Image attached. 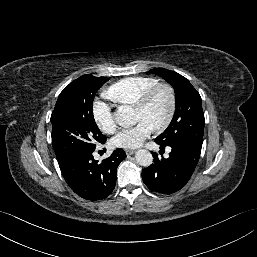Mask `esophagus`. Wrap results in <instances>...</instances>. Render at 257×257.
<instances>
[{"instance_id": "esophagus-1", "label": "esophagus", "mask_w": 257, "mask_h": 257, "mask_svg": "<svg viewBox=\"0 0 257 257\" xmlns=\"http://www.w3.org/2000/svg\"><path fill=\"white\" fill-rule=\"evenodd\" d=\"M125 152L127 155H133L135 153L133 150H126Z\"/></svg>"}]
</instances>
